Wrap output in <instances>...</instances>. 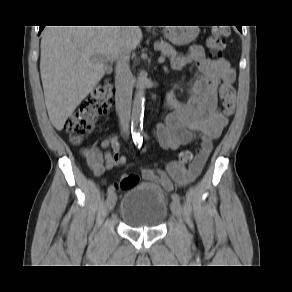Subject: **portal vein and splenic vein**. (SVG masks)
Returning <instances> with one entry per match:
<instances>
[{
    "instance_id": "obj_1",
    "label": "portal vein and splenic vein",
    "mask_w": 292,
    "mask_h": 292,
    "mask_svg": "<svg viewBox=\"0 0 292 292\" xmlns=\"http://www.w3.org/2000/svg\"><path fill=\"white\" fill-rule=\"evenodd\" d=\"M158 61H159V63H163V62L165 61V58L161 56V57L158 59Z\"/></svg>"
}]
</instances>
